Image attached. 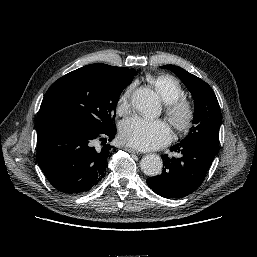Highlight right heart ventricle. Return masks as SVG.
I'll return each instance as SVG.
<instances>
[{"label":"right heart ventricle","instance_id":"right-heart-ventricle-1","mask_svg":"<svg viewBox=\"0 0 257 257\" xmlns=\"http://www.w3.org/2000/svg\"><path fill=\"white\" fill-rule=\"evenodd\" d=\"M147 81L157 91L165 103L174 102L185 95L184 88L180 82L173 76L162 74L157 76H148Z\"/></svg>","mask_w":257,"mask_h":257}]
</instances>
